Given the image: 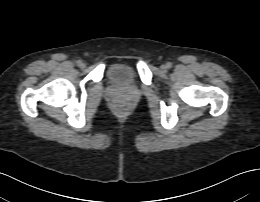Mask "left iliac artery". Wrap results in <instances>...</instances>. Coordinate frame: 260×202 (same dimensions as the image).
Returning <instances> with one entry per match:
<instances>
[{"mask_svg":"<svg viewBox=\"0 0 260 202\" xmlns=\"http://www.w3.org/2000/svg\"><path fill=\"white\" fill-rule=\"evenodd\" d=\"M166 66H167V68H171V67H172V64H171L170 62H168V63L166 64Z\"/></svg>","mask_w":260,"mask_h":202,"instance_id":"1","label":"left iliac artery"}]
</instances>
